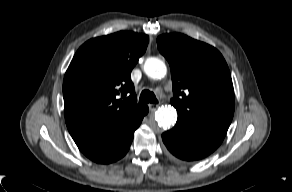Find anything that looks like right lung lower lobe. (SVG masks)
Listing matches in <instances>:
<instances>
[{"label":"right lung lower lobe","instance_id":"1","mask_svg":"<svg viewBox=\"0 0 292 192\" xmlns=\"http://www.w3.org/2000/svg\"><path fill=\"white\" fill-rule=\"evenodd\" d=\"M148 107L136 117L113 128L70 133L80 151L94 162L108 164L122 158L130 148L134 132L142 122Z\"/></svg>","mask_w":292,"mask_h":192}]
</instances>
